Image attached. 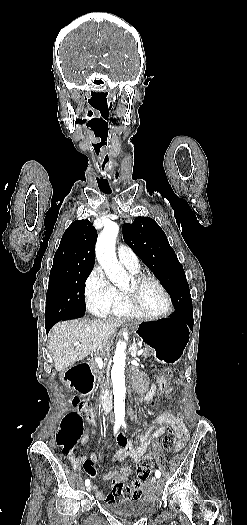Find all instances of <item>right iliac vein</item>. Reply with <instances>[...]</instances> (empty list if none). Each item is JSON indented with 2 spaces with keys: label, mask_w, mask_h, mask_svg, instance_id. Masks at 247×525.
I'll return each mask as SVG.
<instances>
[{
  "label": "right iliac vein",
  "mask_w": 247,
  "mask_h": 525,
  "mask_svg": "<svg viewBox=\"0 0 247 525\" xmlns=\"http://www.w3.org/2000/svg\"><path fill=\"white\" fill-rule=\"evenodd\" d=\"M86 490H87L88 492H90V491L92 490V485H88L87 488H86Z\"/></svg>",
  "instance_id": "right-iliac-vein-1"
}]
</instances>
